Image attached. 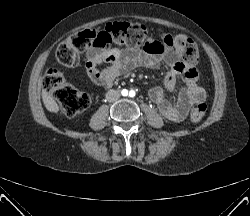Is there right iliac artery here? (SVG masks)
<instances>
[{"label":"right iliac artery","instance_id":"obj_1","mask_svg":"<svg viewBox=\"0 0 250 216\" xmlns=\"http://www.w3.org/2000/svg\"><path fill=\"white\" fill-rule=\"evenodd\" d=\"M127 94H128V91H127V90H125V89L122 90V95H123V96H126Z\"/></svg>","mask_w":250,"mask_h":216}]
</instances>
